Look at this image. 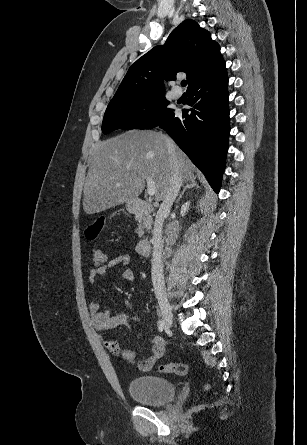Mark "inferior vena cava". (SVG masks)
Returning a JSON list of instances; mask_svg holds the SVG:
<instances>
[{"label": "inferior vena cava", "mask_w": 307, "mask_h": 445, "mask_svg": "<svg viewBox=\"0 0 307 445\" xmlns=\"http://www.w3.org/2000/svg\"><path fill=\"white\" fill-rule=\"evenodd\" d=\"M166 144L168 152L173 158V174L171 178H169L170 186L164 196V200L162 204H160L159 210H157L153 233V255L151 259V277L153 289L159 304H166L168 301L162 265L163 223L164 218L167 212H169L182 184V170L178 164V158L175 156L176 144L173 142L172 138H168V136L166 138Z\"/></svg>", "instance_id": "inferior-vena-cava-1"}]
</instances>
